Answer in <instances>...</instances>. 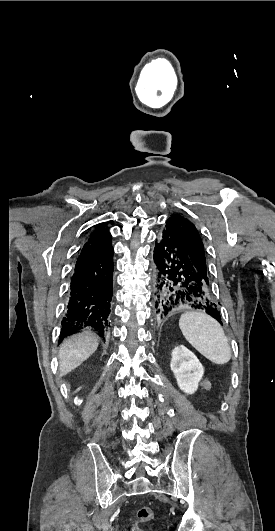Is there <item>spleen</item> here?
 I'll list each match as a JSON object with an SVG mask.
<instances>
[{
  "label": "spleen",
  "mask_w": 275,
  "mask_h": 531,
  "mask_svg": "<svg viewBox=\"0 0 275 531\" xmlns=\"http://www.w3.org/2000/svg\"><path fill=\"white\" fill-rule=\"evenodd\" d=\"M179 327L188 343L203 357L215 365H225L230 361L228 339L220 323L210 315L186 311L179 319Z\"/></svg>",
  "instance_id": "spleen-1"
}]
</instances>
